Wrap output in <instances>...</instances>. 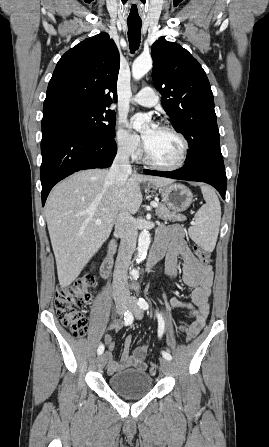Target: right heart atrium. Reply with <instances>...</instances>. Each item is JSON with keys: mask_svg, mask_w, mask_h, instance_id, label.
<instances>
[{"mask_svg": "<svg viewBox=\"0 0 269 447\" xmlns=\"http://www.w3.org/2000/svg\"><path fill=\"white\" fill-rule=\"evenodd\" d=\"M115 141L122 153L129 157L138 158L142 154L140 137L127 129L123 118H119L117 121Z\"/></svg>", "mask_w": 269, "mask_h": 447, "instance_id": "right-heart-atrium-1", "label": "right heart atrium"}]
</instances>
